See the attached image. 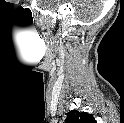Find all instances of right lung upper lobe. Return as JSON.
<instances>
[{"instance_id":"1","label":"right lung upper lobe","mask_w":124,"mask_h":123,"mask_svg":"<svg viewBox=\"0 0 124 123\" xmlns=\"http://www.w3.org/2000/svg\"><path fill=\"white\" fill-rule=\"evenodd\" d=\"M65 123H94L92 114L72 110L68 113Z\"/></svg>"}]
</instances>
